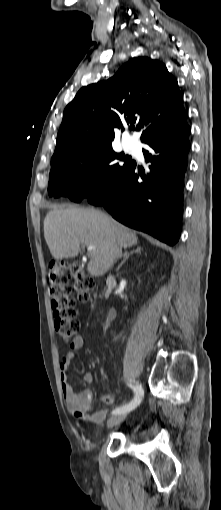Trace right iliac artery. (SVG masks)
I'll return each instance as SVG.
<instances>
[{
    "label": "right iliac artery",
    "instance_id": "82829eb1",
    "mask_svg": "<svg viewBox=\"0 0 221 510\" xmlns=\"http://www.w3.org/2000/svg\"><path fill=\"white\" fill-rule=\"evenodd\" d=\"M128 385L133 389V391L135 393L134 399L126 405L115 408L112 411V414L129 412V411L135 409L141 403L143 395H144L142 386L138 382H135V381Z\"/></svg>",
    "mask_w": 221,
    "mask_h": 510
}]
</instances>
